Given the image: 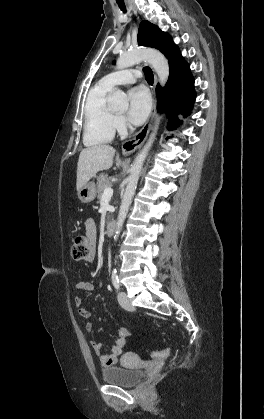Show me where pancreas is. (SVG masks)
<instances>
[{
	"instance_id": "obj_1",
	"label": "pancreas",
	"mask_w": 264,
	"mask_h": 419,
	"mask_svg": "<svg viewBox=\"0 0 264 419\" xmlns=\"http://www.w3.org/2000/svg\"><path fill=\"white\" fill-rule=\"evenodd\" d=\"M111 181L108 178V175L105 173H101L99 174V176H97V197L98 200L100 202V200L102 199L104 190L108 187H111Z\"/></svg>"
}]
</instances>
